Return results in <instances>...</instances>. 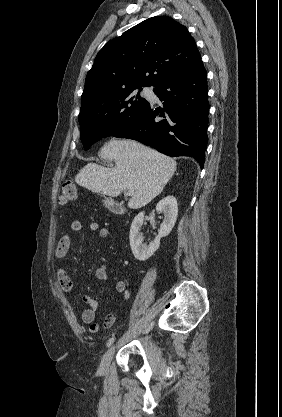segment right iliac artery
Listing matches in <instances>:
<instances>
[{"label":"right iliac artery","mask_w":282,"mask_h":417,"mask_svg":"<svg viewBox=\"0 0 282 417\" xmlns=\"http://www.w3.org/2000/svg\"><path fill=\"white\" fill-rule=\"evenodd\" d=\"M114 340H115L114 337L110 338L107 342V347H110L113 344Z\"/></svg>","instance_id":"right-iliac-artery-1"}]
</instances>
